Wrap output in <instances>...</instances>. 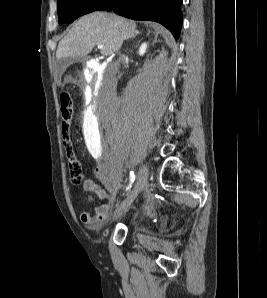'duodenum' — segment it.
<instances>
[{
	"label": "duodenum",
	"mask_w": 267,
	"mask_h": 298,
	"mask_svg": "<svg viewBox=\"0 0 267 298\" xmlns=\"http://www.w3.org/2000/svg\"><path fill=\"white\" fill-rule=\"evenodd\" d=\"M100 83L99 82H91L90 84H86L85 88L86 89H91L92 87H99Z\"/></svg>",
	"instance_id": "1"
}]
</instances>
